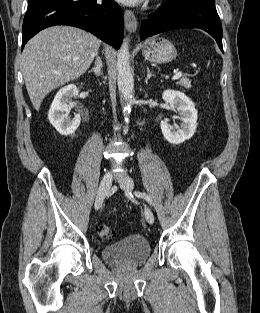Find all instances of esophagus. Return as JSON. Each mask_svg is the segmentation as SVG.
Here are the masks:
<instances>
[{
  "label": "esophagus",
  "mask_w": 260,
  "mask_h": 313,
  "mask_svg": "<svg viewBox=\"0 0 260 313\" xmlns=\"http://www.w3.org/2000/svg\"><path fill=\"white\" fill-rule=\"evenodd\" d=\"M125 27L130 32H135L138 27L136 16L131 10H125L124 12Z\"/></svg>",
  "instance_id": "34e87169"
}]
</instances>
